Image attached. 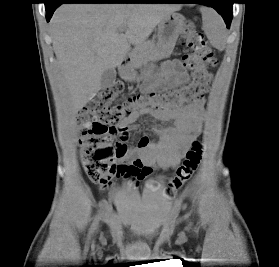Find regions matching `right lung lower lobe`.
Wrapping results in <instances>:
<instances>
[{"instance_id": "obj_1", "label": "right lung lower lobe", "mask_w": 279, "mask_h": 267, "mask_svg": "<svg viewBox=\"0 0 279 267\" xmlns=\"http://www.w3.org/2000/svg\"><path fill=\"white\" fill-rule=\"evenodd\" d=\"M156 0H46V19L49 22L54 11L63 3H153Z\"/></svg>"}]
</instances>
